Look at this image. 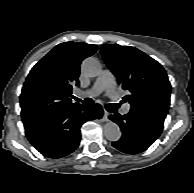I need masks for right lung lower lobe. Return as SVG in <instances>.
I'll use <instances>...</instances> for the list:
<instances>
[{"instance_id": "right-lung-lower-lobe-1", "label": "right lung lower lobe", "mask_w": 194, "mask_h": 193, "mask_svg": "<svg viewBox=\"0 0 194 193\" xmlns=\"http://www.w3.org/2000/svg\"><path fill=\"white\" fill-rule=\"evenodd\" d=\"M100 104H80L60 112L23 121L30 143L44 156L61 158L72 153L80 143V127L88 120L100 119Z\"/></svg>"}]
</instances>
